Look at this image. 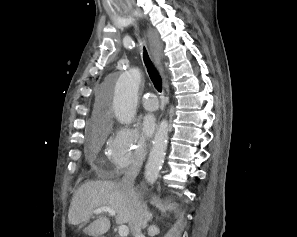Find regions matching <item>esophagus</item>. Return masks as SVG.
Here are the masks:
<instances>
[{"instance_id":"esophagus-1","label":"esophagus","mask_w":297,"mask_h":237,"mask_svg":"<svg viewBox=\"0 0 297 237\" xmlns=\"http://www.w3.org/2000/svg\"><path fill=\"white\" fill-rule=\"evenodd\" d=\"M155 60L159 64V59L156 56H155ZM160 69H161V72H163V69L162 68H160Z\"/></svg>"}]
</instances>
